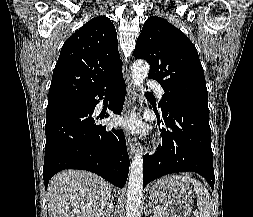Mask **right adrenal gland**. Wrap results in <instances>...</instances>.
I'll return each instance as SVG.
<instances>
[{"instance_id": "obj_1", "label": "right adrenal gland", "mask_w": 253, "mask_h": 217, "mask_svg": "<svg viewBox=\"0 0 253 217\" xmlns=\"http://www.w3.org/2000/svg\"><path fill=\"white\" fill-rule=\"evenodd\" d=\"M112 213H113V206H112V211H111V214H112ZM111 214L109 215V217H113Z\"/></svg>"}]
</instances>
